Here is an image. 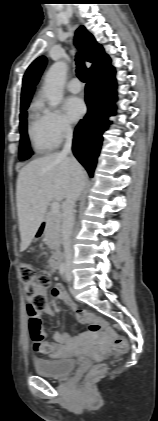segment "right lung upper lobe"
I'll use <instances>...</instances> for the list:
<instances>
[{
  "label": "right lung upper lobe",
  "mask_w": 158,
  "mask_h": 421,
  "mask_svg": "<svg viewBox=\"0 0 158 421\" xmlns=\"http://www.w3.org/2000/svg\"><path fill=\"white\" fill-rule=\"evenodd\" d=\"M76 42L85 59L92 63L89 73L101 68L107 61H109V57L104 53L102 46L96 42L93 35L90 34L84 26L79 27L76 31ZM45 65L46 58L41 56L37 58L27 69L23 77L21 105H25L30 102L35 85L37 84Z\"/></svg>",
  "instance_id": "obj_1"
}]
</instances>
